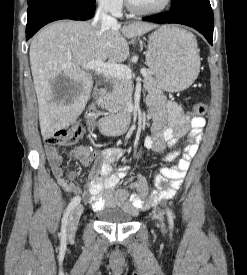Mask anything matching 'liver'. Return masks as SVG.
Returning a JSON list of instances; mask_svg holds the SVG:
<instances>
[{
    "label": "liver",
    "instance_id": "liver-1",
    "mask_svg": "<svg viewBox=\"0 0 247 275\" xmlns=\"http://www.w3.org/2000/svg\"><path fill=\"white\" fill-rule=\"evenodd\" d=\"M157 27L134 22L122 28L118 24L101 29L89 22L63 20L42 29L31 41L29 57L43 138L49 139L73 124L85 109L93 79L83 65L125 61L129 56L126 38L141 36ZM62 75L74 86L72 94L57 95L52 89V83Z\"/></svg>",
    "mask_w": 247,
    "mask_h": 275
}]
</instances>
